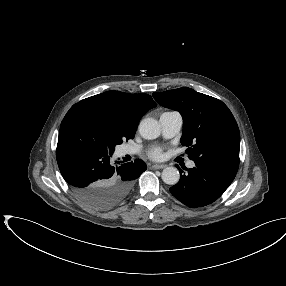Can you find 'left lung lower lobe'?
<instances>
[{"instance_id": "0a47b994", "label": "left lung lower lobe", "mask_w": 286, "mask_h": 286, "mask_svg": "<svg viewBox=\"0 0 286 286\" xmlns=\"http://www.w3.org/2000/svg\"><path fill=\"white\" fill-rule=\"evenodd\" d=\"M187 174L180 171L179 182L170 188L171 194L189 207H202L217 200L234 180L236 173L224 167L195 163Z\"/></svg>"}]
</instances>
